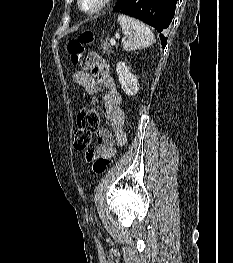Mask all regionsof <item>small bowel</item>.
Wrapping results in <instances>:
<instances>
[{
    "mask_svg": "<svg viewBox=\"0 0 233 263\" xmlns=\"http://www.w3.org/2000/svg\"><path fill=\"white\" fill-rule=\"evenodd\" d=\"M85 70L73 73V81L82 86L90 95H96L104 90V116L110 125V129L100 128L97 132L96 145L90 150L93 157H113L118 146H123L127 141L124 131L125 115L121 108L122 96L116 88L114 78L110 75L106 60L95 52L87 55Z\"/></svg>",
    "mask_w": 233,
    "mask_h": 263,
    "instance_id": "1",
    "label": "small bowel"
}]
</instances>
